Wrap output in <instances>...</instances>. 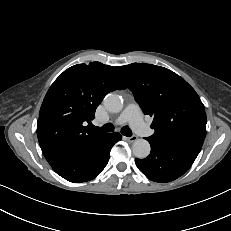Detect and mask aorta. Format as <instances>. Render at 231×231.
Here are the masks:
<instances>
[{"label": "aorta", "mask_w": 231, "mask_h": 231, "mask_svg": "<svg viewBox=\"0 0 231 231\" xmlns=\"http://www.w3.org/2000/svg\"><path fill=\"white\" fill-rule=\"evenodd\" d=\"M106 109L112 113H118L123 109V99L121 96L110 93L103 100ZM151 151L150 144L145 139H137L132 145V152L139 159L146 158Z\"/></svg>", "instance_id": "obj_1"}]
</instances>
